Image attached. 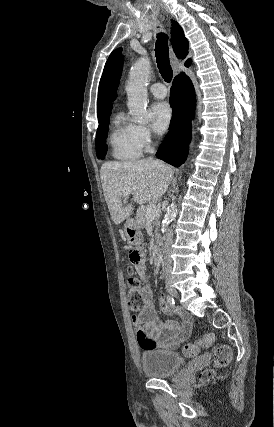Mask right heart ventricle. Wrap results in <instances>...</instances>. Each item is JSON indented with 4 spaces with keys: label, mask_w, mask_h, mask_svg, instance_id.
I'll use <instances>...</instances> for the list:
<instances>
[{
    "label": "right heart ventricle",
    "mask_w": 274,
    "mask_h": 427,
    "mask_svg": "<svg viewBox=\"0 0 274 427\" xmlns=\"http://www.w3.org/2000/svg\"><path fill=\"white\" fill-rule=\"evenodd\" d=\"M136 125L126 120L119 113L115 118L114 128L108 138V145L113 158L120 161H135L140 158L142 149L136 138Z\"/></svg>",
    "instance_id": "obj_1"
}]
</instances>
